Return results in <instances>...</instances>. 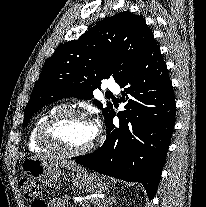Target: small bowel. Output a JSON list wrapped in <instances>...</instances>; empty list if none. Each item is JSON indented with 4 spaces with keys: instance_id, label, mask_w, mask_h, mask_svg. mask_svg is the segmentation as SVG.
<instances>
[{
    "instance_id": "1",
    "label": "small bowel",
    "mask_w": 206,
    "mask_h": 207,
    "mask_svg": "<svg viewBox=\"0 0 206 207\" xmlns=\"http://www.w3.org/2000/svg\"><path fill=\"white\" fill-rule=\"evenodd\" d=\"M66 199H56L48 202L47 207H66Z\"/></svg>"
}]
</instances>
